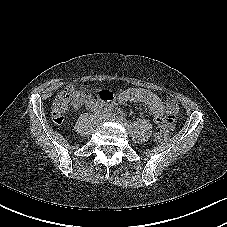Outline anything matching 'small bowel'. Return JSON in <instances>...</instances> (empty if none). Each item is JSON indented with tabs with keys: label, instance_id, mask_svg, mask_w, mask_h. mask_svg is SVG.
I'll return each mask as SVG.
<instances>
[{
	"label": "small bowel",
	"instance_id": "1",
	"mask_svg": "<svg viewBox=\"0 0 227 227\" xmlns=\"http://www.w3.org/2000/svg\"><path fill=\"white\" fill-rule=\"evenodd\" d=\"M120 102L145 104L153 116L154 123L159 127H171L172 122L165 116L162 100L155 93L141 88H128L119 95Z\"/></svg>",
	"mask_w": 227,
	"mask_h": 227
}]
</instances>
